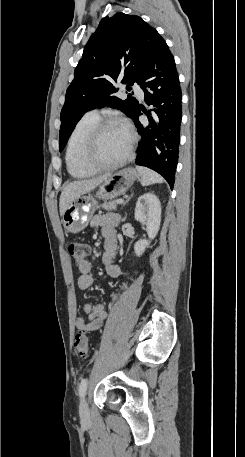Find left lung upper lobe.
I'll return each mask as SVG.
<instances>
[{
	"label": "left lung upper lobe",
	"instance_id": "1",
	"mask_svg": "<svg viewBox=\"0 0 245 457\" xmlns=\"http://www.w3.org/2000/svg\"><path fill=\"white\" fill-rule=\"evenodd\" d=\"M162 39L139 16L119 12L101 20L85 46L66 92L61 111L60 151L89 109L109 106L132 117L138 101L130 94L124 101L112 96L117 91L113 84L121 80L130 90L129 86L139 83L154 47Z\"/></svg>",
	"mask_w": 245,
	"mask_h": 457
}]
</instances>
